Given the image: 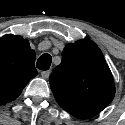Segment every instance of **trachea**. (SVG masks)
Instances as JSON below:
<instances>
[{
  "label": "trachea",
  "mask_w": 125,
  "mask_h": 125,
  "mask_svg": "<svg viewBox=\"0 0 125 125\" xmlns=\"http://www.w3.org/2000/svg\"><path fill=\"white\" fill-rule=\"evenodd\" d=\"M52 62L51 55L45 53L39 57L37 60V68L40 70H48Z\"/></svg>",
  "instance_id": "1"
}]
</instances>
